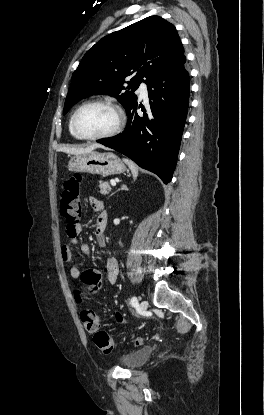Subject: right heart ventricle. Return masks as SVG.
I'll list each match as a JSON object with an SVG mask.
<instances>
[{"mask_svg": "<svg viewBox=\"0 0 264 415\" xmlns=\"http://www.w3.org/2000/svg\"><path fill=\"white\" fill-rule=\"evenodd\" d=\"M71 119H72V117H70V120H69V123H68V129H69V132L71 133V135H72L73 137H75V138H77V139H80L79 137H77V136L74 134V132H73V130H72V126H71Z\"/></svg>", "mask_w": 264, "mask_h": 415, "instance_id": "e07e8e85", "label": "right heart ventricle"}]
</instances>
